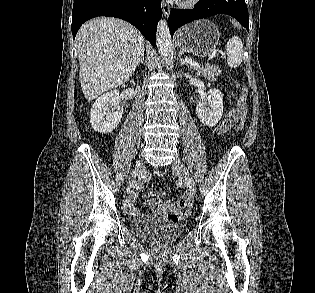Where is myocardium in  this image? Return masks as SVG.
<instances>
[{
  "mask_svg": "<svg viewBox=\"0 0 315 293\" xmlns=\"http://www.w3.org/2000/svg\"><path fill=\"white\" fill-rule=\"evenodd\" d=\"M199 0H179L180 6L184 8L193 7Z\"/></svg>",
  "mask_w": 315,
  "mask_h": 293,
  "instance_id": "f54148a6",
  "label": "myocardium"
}]
</instances>
